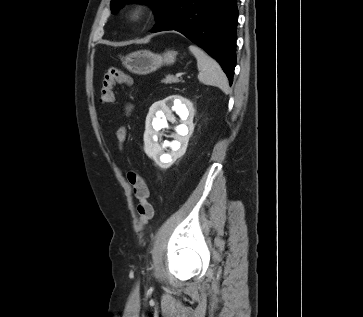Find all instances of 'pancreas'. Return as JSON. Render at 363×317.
Masks as SVG:
<instances>
[{"instance_id":"pancreas-1","label":"pancreas","mask_w":363,"mask_h":317,"mask_svg":"<svg viewBox=\"0 0 363 317\" xmlns=\"http://www.w3.org/2000/svg\"><path fill=\"white\" fill-rule=\"evenodd\" d=\"M180 80L173 75H167L165 79L162 80V83H178Z\"/></svg>"}]
</instances>
